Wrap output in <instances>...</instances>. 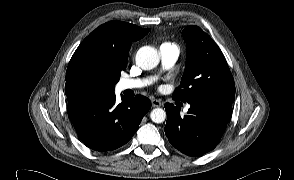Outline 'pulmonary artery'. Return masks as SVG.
I'll use <instances>...</instances> for the list:
<instances>
[{"mask_svg": "<svg viewBox=\"0 0 294 180\" xmlns=\"http://www.w3.org/2000/svg\"><path fill=\"white\" fill-rule=\"evenodd\" d=\"M161 62L165 68L171 67L179 56V50L175 45L167 44L160 46L159 49ZM149 83L147 79H128L120 82L119 87L122 91L129 89H138L144 87ZM189 109L188 106L184 108V111Z\"/></svg>", "mask_w": 294, "mask_h": 180, "instance_id": "e3ab8cb5", "label": "pulmonary artery"}]
</instances>
